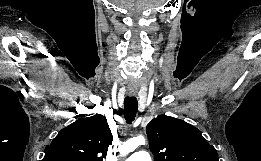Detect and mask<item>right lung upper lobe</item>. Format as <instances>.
Instances as JSON below:
<instances>
[{
  "label": "right lung upper lobe",
  "mask_w": 261,
  "mask_h": 161,
  "mask_svg": "<svg viewBox=\"0 0 261 161\" xmlns=\"http://www.w3.org/2000/svg\"><path fill=\"white\" fill-rule=\"evenodd\" d=\"M112 140L106 117L96 114L81 118L63 128L46 146L42 161H103Z\"/></svg>",
  "instance_id": "obj_1"
}]
</instances>
